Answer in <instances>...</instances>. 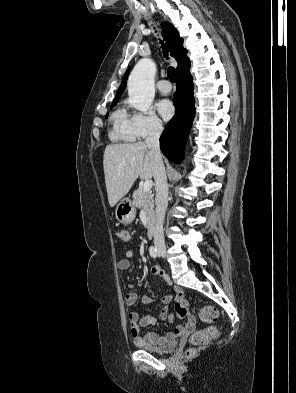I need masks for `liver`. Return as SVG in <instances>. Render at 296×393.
Wrapping results in <instances>:
<instances>
[{"label":"liver","instance_id":"obj_1","mask_svg":"<svg viewBox=\"0 0 296 393\" xmlns=\"http://www.w3.org/2000/svg\"><path fill=\"white\" fill-rule=\"evenodd\" d=\"M103 167L110 207L123 198L138 177L154 176V155L144 142L106 146Z\"/></svg>","mask_w":296,"mask_h":393}]
</instances>
